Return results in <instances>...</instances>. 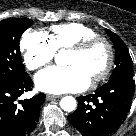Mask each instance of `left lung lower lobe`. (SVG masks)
Wrapping results in <instances>:
<instances>
[{
	"instance_id": "0a47b994",
	"label": "left lung lower lobe",
	"mask_w": 136,
	"mask_h": 136,
	"mask_svg": "<svg viewBox=\"0 0 136 136\" xmlns=\"http://www.w3.org/2000/svg\"><path fill=\"white\" fill-rule=\"evenodd\" d=\"M135 81H110L95 94L78 98L77 110L68 116L83 136H109L123 123L134 95Z\"/></svg>"
}]
</instances>
